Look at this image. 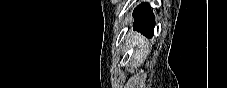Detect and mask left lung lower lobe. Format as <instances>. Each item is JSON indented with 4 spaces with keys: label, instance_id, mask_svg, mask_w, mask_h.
I'll use <instances>...</instances> for the list:
<instances>
[{
    "label": "left lung lower lobe",
    "instance_id": "0a47b994",
    "mask_svg": "<svg viewBox=\"0 0 227 88\" xmlns=\"http://www.w3.org/2000/svg\"><path fill=\"white\" fill-rule=\"evenodd\" d=\"M133 17L134 29L151 38L154 33L155 19L150 6L147 3H141L134 9Z\"/></svg>",
    "mask_w": 227,
    "mask_h": 88
}]
</instances>
